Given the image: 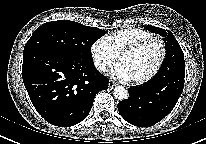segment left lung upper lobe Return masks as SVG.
Here are the masks:
<instances>
[{
    "mask_svg": "<svg viewBox=\"0 0 206 144\" xmlns=\"http://www.w3.org/2000/svg\"><path fill=\"white\" fill-rule=\"evenodd\" d=\"M148 31L157 33L164 37V41L166 43V55L165 59L162 63L161 68L157 72V74L151 80H155L160 78L165 74V72L172 68H184L185 60L184 54L177 40L174 38L173 34L169 30L161 29L159 27H155L152 25L146 26Z\"/></svg>",
    "mask_w": 206,
    "mask_h": 144,
    "instance_id": "left-lung-upper-lobe-1",
    "label": "left lung upper lobe"
}]
</instances>
